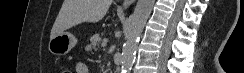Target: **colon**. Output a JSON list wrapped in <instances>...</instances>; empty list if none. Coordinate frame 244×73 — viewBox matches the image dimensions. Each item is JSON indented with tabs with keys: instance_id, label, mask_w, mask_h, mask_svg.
<instances>
[{
	"instance_id": "5ec220e1",
	"label": "colon",
	"mask_w": 244,
	"mask_h": 73,
	"mask_svg": "<svg viewBox=\"0 0 244 73\" xmlns=\"http://www.w3.org/2000/svg\"><path fill=\"white\" fill-rule=\"evenodd\" d=\"M63 73H69V71L68 70H64Z\"/></svg>"
}]
</instances>
